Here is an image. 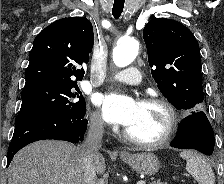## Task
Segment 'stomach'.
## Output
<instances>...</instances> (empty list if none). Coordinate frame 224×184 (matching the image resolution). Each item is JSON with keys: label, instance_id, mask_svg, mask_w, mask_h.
<instances>
[{"label": "stomach", "instance_id": "0dacf381", "mask_svg": "<svg viewBox=\"0 0 224 184\" xmlns=\"http://www.w3.org/2000/svg\"><path fill=\"white\" fill-rule=\"evenodd\" d=\"M121 159L137 173L151 176L157 173L160 167L158 158L152 153H136L121 156Z\"/></svg>", "mask_w": 224, "mask_h": 184}]
</instances>
